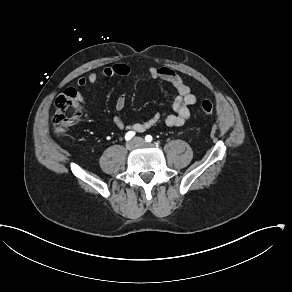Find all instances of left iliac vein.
Here are the masks:
<instances>
[{
    "label": "left iliac vein",
    "instance_id": "obj_1",
    "mask_svg": "<svg viewBox=\"0 0 292 292\" xmlns=\"http://www.w3.org/2000/svg\"><path fill=\"white\" fill-rule=\"evenodd\" d=\"M134 140L136 141L137 144L140 145L145 144V140L141 137H136Z\"/></svg>",
    "mask_w": 292,
    "mask_h": 292
}]
</instances>
